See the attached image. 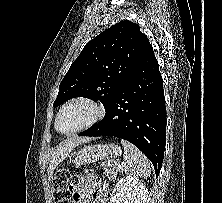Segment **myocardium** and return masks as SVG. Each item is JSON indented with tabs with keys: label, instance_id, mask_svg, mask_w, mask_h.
I'll return each instance as SVG.
<instances>
[{
	"label": "myocardium",
	"instance_id": "1",
	"mask_svg": "<svg viewBox=\"0 0 222 203\" xmlns=\"http://www.w3.org/2000/svg\"><path fill=\"white\" fill-rule=\"evenodd\" d=\"M76 103H83V104H87V105L91 106L94 109V112H95L93 118L90 121H88L86 124L82 125L81 127L77 128L75 130H72V131H69V132L61 131L60 128H59V119H60V116H61L62 112L68 106H70L72 104H76ZM104 115H105V108L99 102L95 101L92 98L85 97V96L74 97V98L68 100L66 103H64L62 105V107L60 108V110H59V112L56 116L55 128L59 133H61L63 135H67V136L74 135V134L82 132L86 129L91 128L92 126L97 124L104 117Z\"/></svg>",
	"mask_w": 222,
	"mask_h": 203
}]
</instances>
